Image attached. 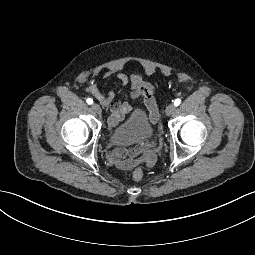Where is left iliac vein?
<instances>
[{
    "mask_svg": "<svg viewBox=\"0 0 255 255\" xmlns=\"http://www.w3.org/2000/svg\"><path fill=\"white\" fill-rule=\"evenodd\" d=\"M176 107L174 104H169L167 107H166V110H165V113L167 116H170L171 114L174 113Z\"/></svg>",
    "mask_w": 255,
    "mask_h": 255,
    "instance_id": "4c4485c4",
    "label": "left iliac vein"
}]
</instances>
